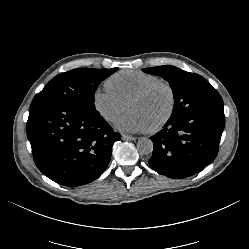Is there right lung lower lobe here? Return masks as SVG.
I'll return each mask as SVG.
<instances>
[{
  "instance_id": "98d812e1",
  "label": "right lung lower lobe",
  "mask_w": 249,
  "mask_h": 249,
  "mask_svg": "<svg viewBox=\"0 0 249 249\" xmlns=\"http://www.w3.org/2000/svg\"><path fill=\"white\" fill-rule=\"evenodd\" d=\"M27 136L38 169L70 187L97 179L121 138L97 110L66 103L31 108Z\"/></svg>"
}]
</instances>
